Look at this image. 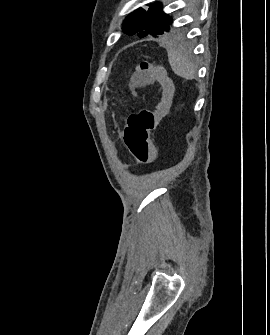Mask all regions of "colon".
Wrapping results in <instances>:
<instances>
[{
	"label": "colon",
	"instance_id": "1",
	"mask_svg": "<svg viewBox=\"0 0 270 335\" xmlns=\"http://www.w3.org/2000/svg\"><path fill=\"white\" fill-rule=\"evenodd\" d=\"M152 69L148 61H142L136 69L130 70V82L133 89H141L153 85L154 89H162L158 102H154V108H141L130 113L127 117V125L123 132V141L130 156L140 164L162 163L160 148H155V141H150V132L157 126V119L166 116V109H174L172 80L174 72H163L164 64L160 57H151ZM154 109H157L155 112Z\"/></svg>",
	"mask_w": 270,
	"mask_h": 335
}]
</instances>
